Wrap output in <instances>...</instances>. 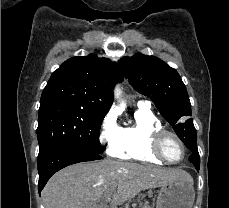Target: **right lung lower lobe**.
Listing matches in <instances>:
<instances>
[{
    "mask_svg": "<svg viewBox=\"0 0 229 208\" xmlns=\"http://www.w3.org/2000/svg\"><path fill=\"white\" fill-rule=\"evenodd\" d=\"M101 154L91 152L75 145L57 147L38 159L39 194L49 178L60 169L79 162L101 159Z\"/></svg>",
    "mask_w": 229,
    "mask_h": 208,
    "instance_id": "obj_1",
    "label": "right lung lower lobe"
}]
</instances>
